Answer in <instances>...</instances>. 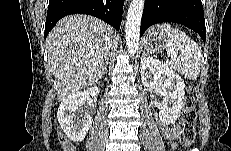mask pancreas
<instances>
[{
  "label": "pancreas",
  "mask_w": 231,
  "mask_h": 151,
  "mask_svg": "<svg viewBox=\"0 0 231 151\" xmlns=\"http://www.w3.org/2000/svg\"><path fill=\"white\" fill-rule=\"evenodd\" d=\"M171 67H172L173 69H175L176 71H178V70L180 69V66H179L177 63L171 64Z\"/></svg>",
  "instance_id": "1"
}]
</instances>
